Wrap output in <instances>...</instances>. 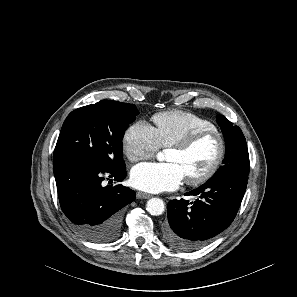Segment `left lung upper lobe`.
Here are the masks:
<instances>
[{"label":"left lung upper lobe","instance_id":"obj_1","mask_svg":"<svg viewBox=\"0 0 297 297\" xmlns=\"http://www.w3.org/2000/svg\"><path fill=\"white\" fill-rule=\"evenodd\" d=\"M217 121L226 142V154L223 166L211 178L237 177L248 178L249 154L245 137L238 126H234L225 116L220 115Z\"/></svg>","mask_w":297,"mask_h":297}]
</instances>
